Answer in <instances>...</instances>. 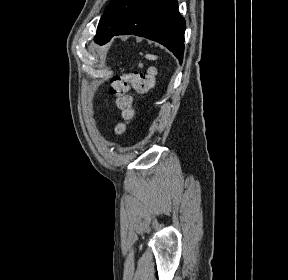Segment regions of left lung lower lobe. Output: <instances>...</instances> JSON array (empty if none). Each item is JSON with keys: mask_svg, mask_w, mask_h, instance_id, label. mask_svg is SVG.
I'll return each mask as SVG.
<instances>
[{"mask_svg": "<svg viewBox=\"0 0 288 280\" xmlns=\"http://www.w3.org/2000/svg\"><path fill=\"white\" fill-rule=\"evenodd\" d=\"M184 33L185 20L178 11L177 0H143L113 36L134 34L156 41L167 47L181 64Z\"/></svg>", "mask_w": 288, "mask_h": 280, "instance_id": "0a47b994", "label": "left lung lower lobe"}]
</instances>
